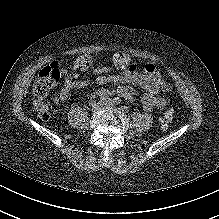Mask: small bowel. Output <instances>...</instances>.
I'll use <instances>...</instances> for the list:
<instances>
[{
    "instance_id": "c3829d8e",
    "label": "small bowel",
    "mask_w": 219,
    "mask_h": 219,
    "mask_svg": "<svg viewBox=\"0 0 219 219\" xmlns=\"http://www.w3.org/2000/svg\"><path fill=\"white\" fill-rule=\"evenodd\" d=\"M90 63V57L80 56L74 62L75 70H85ZM113 63L120 69V73L106 72L96 77L98 85L120 84L121 86L116 89H99L98 95L111 96L117 95L130 103H135V91L131 87L136 85L141 87L144 92L140 96V103L145 111H152L154 109L161 110L166 107L167 100L161 96V92L171 90V86L165 82L156 68L148 64L144 67L143 72H140L137 64L130 58L129 55L118 52L113 56ZM90 80L79 79V73H65L64 85L58 94L55 96L54 101L58 104L66 100L71 90L90 86Z\"/></svg>"
}]
</instances>
